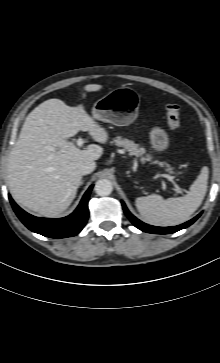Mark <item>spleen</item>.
I'll list each match as a JSON object with an SVG mask.
<instances>
[{
	"instance_id": "3e777b00",
	"label": "spleen",
	"mask_w": 220,
	"mask_h": 363,
	"mask_svg": "<svg viewBox=\"0 0 220 363\" xmlns=\"http://www.w3.org/2000/svg\"><path fill=\"white\" fill-rule=\"evenodd\" d=\"M208 170L202 169L200 175L190 186V191L182 197L164 200L152 194L136 199V207L142 218L156 226H175L189 220L200 207L207 191Z\"/></svg>"
}]
</instances>
